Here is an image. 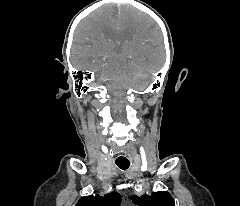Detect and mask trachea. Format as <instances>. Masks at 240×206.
<instances>
[{"mask_svg":"<svg viewBox=\"0 0 240 206\" xmlns=\"http://www.w3.org/2000/svg\"><path fill=\"white\" fill-rule=\"evenodd\" d=\"M115 163L120 169L123 170L127 169L130 165V162L128 160L116 161Z\"/></svg>","mask_w":240,"mask_h":206,"instance_id":"1","label":"trachea"}]
</instances>
